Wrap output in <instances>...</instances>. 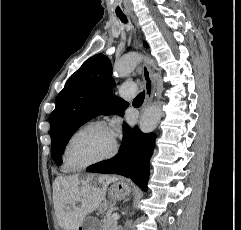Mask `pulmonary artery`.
<instances>
[{
    "label": "pulmonary artery",
    "mask_w": 241,
    "mask_h": 230,
    "mask_svg": "<svg viewBox=\"0 0 241 230\" xmlns=\"http://www.w3.org/2000/svg\"><path fill=\"white\" fill-rule=\"evenodd\" d=\"M136 85L132 82L122 84L118 89V94L123 99H131L135 96Z\"/></svg>",
    "instance_id": "pulmonary-artery-1"
}]
</instances>
